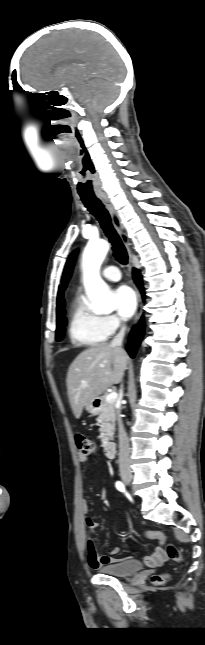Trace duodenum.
<instances>
[{"label": "duodenum", "instance_id": "1", "mask_svg": "<svg viewBox=\"0 0 205 645\" xmlns=\"http://www.w3.org/2000/svg\"><path fill=\"white\" fill-rule=\"evenodd\" d=\"M104 454L107 458L113 459L116 455V447L113 442H107L104 445Z\"/></svg>", "mask_w": 205, "mask_h": 645}]
</instances>
